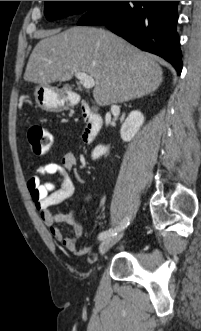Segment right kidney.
Segmentation results:
<instances>
[{
	"label": "right kidney",
	"instance_id": "1",
	"mask_svg": "<svg viewBox=\"0 0 201 331\" xmlns=\"http://www.w3.org/2000/svg\"><path fill=\"white\" fill-rule=\"evenodd\" d=\"M143 123V114L139 111H132L121 127L120 135L122 140L125 142L131 141L135 137ZM107 151L108 147L98 145L92 152V159H98L100 156L106 154Z\"/></svg>",
	"mask_w": 201,
	"mask_h": 331
}]
</instances>
